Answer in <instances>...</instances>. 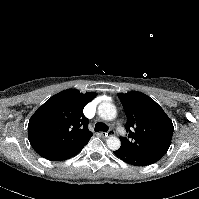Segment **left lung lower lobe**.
Masks as SVG:
<instances>
[{
  "label": "left lung lower lobe",
  "instance_id": "obj_1",
  "mask_svg": "<svg viewBox=\"0 0 199 199\" xmlns=\"http://www.w3.org/2000/svg\"><path fill=\"white\" fill-rule=\"evenodd\" d=\"M113 153L119 157L121 160L126 163L135 165V166H147L157 162L156 160L143 156L137 153H134L130 150L120 147L118 150L113 151Z\"/></svg>",
  "mask_w": 199,
  "mask_h": 199
}]
</instances>
